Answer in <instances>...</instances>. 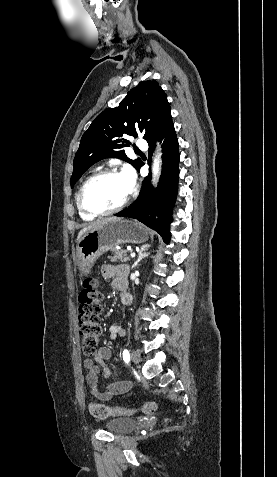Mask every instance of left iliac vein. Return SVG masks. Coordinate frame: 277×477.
<instances>
[{
	"label": "left iliac vein",
	"mask_w": 277,
	"mask_h": 477,
	"mask_svg": "<svg viewBox=\"0 0 277 477\" xmlns=\"http://www.w3.org/2000/svg\"><path fill=\"white\" fill-rule=\"evenodd\" d=\"M131 360H132L135 364H139V362L141 361L140 352L137 351V350H133L132 353H131Z\"/></svg>",
	"instance_id": "left-iliac-vein-1"
}]
</instances>
